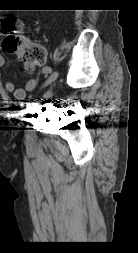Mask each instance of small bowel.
I'll list each match as a JSON object with an SVG mask.
<instances>
[{
  "instance_id": "obj_1",
  "label": "small bowel",
  "mask_w": 138,
  "mask_h": 253,
  "mask_svg": "<svg viewBox=\"0 0 138 253\" xmlns=\"http://www.w3.org/2000/svg\"><path fill=\"white\" fill-rule=\"evenodd\" d=\"M4 64V58L3 56L0 54V68L3 66ZM44 73H49L50 69L49 68H45L43 70ZM39 79L38 78H32L29 79L25 86L23 88H16L14 82L12 81H7L5 83V90L9 93H12L14 98L16 100H23L26 97V93L27 92H31L33 91L37 85H38Z\"/></svg>"
}]
</instances>
